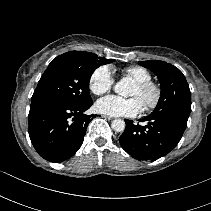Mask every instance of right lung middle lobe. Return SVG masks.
<instances>
[{
	"label": "right lung middle lobe",
	"instance_id": "right-lung-middle-lobe-1",
	"mask_svg": "<svg viewBox=\"0 0 211 211\" xmlns=\"http://www.w3.org/2000/svg\"><path fill=\"white\" fill-rule=\"evenodd\" d=\"M114 59L97 57L90 52L72 51L56 57L41 76L31 103L56 102L72 107L92 103L89 81L100 65Z\"/></svg>",
	"mask_w": 211,
	"mask_h": 211
}]
</instances>
